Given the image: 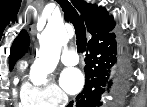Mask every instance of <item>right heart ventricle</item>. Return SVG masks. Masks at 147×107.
<instances>
[{"instance_id":"obj_1","label":"right heart ventricle","mask_w":147,"mask_h":107,"mask_svg":"<svg viewBox=\"0 0 147 107\" xmlns=\"http://www.w3.org/2000/svg\"><path fill=\"white\" fill-rule=\"evenodd\" d=\"M22 104H23L24 106H31V105H32L31 103L25 102V101H22Z\"/></svg>"}]
</instances>
